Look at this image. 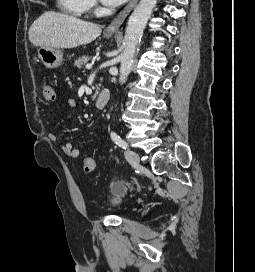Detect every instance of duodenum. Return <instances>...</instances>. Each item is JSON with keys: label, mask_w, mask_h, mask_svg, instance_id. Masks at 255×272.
I'll list each match as a JSON object with an SVG mask.
<instances>
[{"label": "duodenum", "mask_w": 255, "mask_h": 272, "mask_svg": "<svg viewBox=\"0 0 255 272\" xmlns=\"http://www.w3.org/2000/svg\"><path fill=\"white\" fill-rule=\"evenodd\" d=\"M111 98L110 91L107 89H104L97 97L95 106L97 109L102 110L105 108V106L108 104L109 100Z\"/></svg>", "instance_id": "obj_1"}]
</instances>
